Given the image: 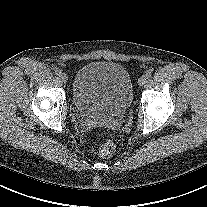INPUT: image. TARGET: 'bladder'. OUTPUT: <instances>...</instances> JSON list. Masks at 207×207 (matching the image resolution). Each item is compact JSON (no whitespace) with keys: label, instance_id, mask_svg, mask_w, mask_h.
Segmentation results:
<instances>
[{"label":"bladder","instance_id":"obj_1","mask_svg":"<svg viewBox=\"0 0 207 207\" xmlns=\"http://www.w3.org/2000/svg\"><path fill=\"white\" fill-rule=\"evenodd\" d=\"M133 98L129 72L120 64L90 62L76 73L72 99L76 109L89 118H111L126 112Z\"/></svg>","mask_w":207,"mask_h":207}]
</instances>
